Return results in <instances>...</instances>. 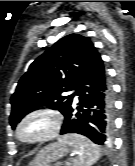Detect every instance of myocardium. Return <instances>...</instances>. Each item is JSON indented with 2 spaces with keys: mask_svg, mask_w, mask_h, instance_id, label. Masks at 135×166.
Returning <instances> with one entry per match:
<instances>
[{
  "mask_svg": "<svg viewBox=\"0 0 135 166\" xmlns=\"http://www.w3.org/2000/svg\"><path fill=\"white\" fill-rule=\"evenodd\" d=\"M35 117H46L49 120L48 130L44 134L35 138L23 137L21 134L23 127ZM61 125L62 115L58 110L50 107H38L30 110L19 120L15 128V137L19 142L27 145L44 143L52 140L58 135Z\"/></svg>",
  "mask_w": 135,
  "mask_h": 166,
  "instance_id": "f54148a6",
  "label": "myocardium"
}]
</instances>
